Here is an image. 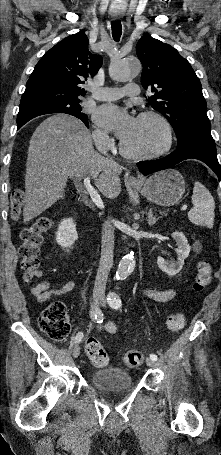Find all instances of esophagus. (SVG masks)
Listing matches in <instances>:
<instances>
[{
	"instance_id": "esophagus-1",
	"label": "esophagus",
	"mask_w": 221,
	"mask_h": 455,
	"mask_svg": "<svg viewBox=\"0 0 221 455\" xmlns=\"http://www.w3.org/2000/svg\"><path fill=\"white\" fill-rule=\"evenodd\" d=\"M114 19H118V16H114ZM126 180L128 182H130V183H137L138 182L137 178L134 177V176H127Z\"/></svg>"
}]
</instances>
